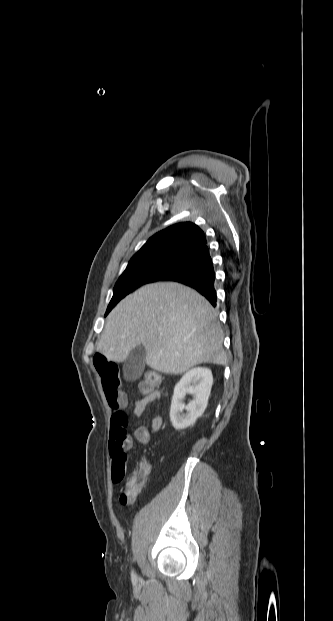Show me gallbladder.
<instances>
[{"label": "gallbladder", "instance_id": "obj_1", "mask_svg": "<svg viewBox=\"0 0 333 621\" xmlns=\"http://www.w3.org/2000/svg\"><path fill=\"white\" fill-rule=\"evenodd\" d=\"M146 352L142 345L132 349L125 360L124 377L126 380L134 381L138 379L145 367Z\"/></svg>", "mask_w": 333, "mask_h": 621}]
</instances>
